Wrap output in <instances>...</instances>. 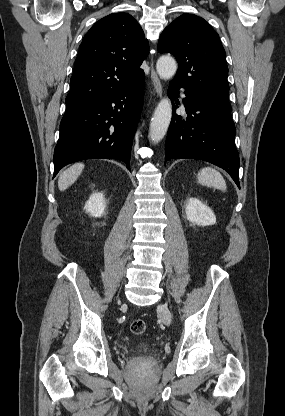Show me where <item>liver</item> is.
Masks as SVG:
<instances>
[{"label":"liver","mask_w":285,"mask_h":416,"mask_svg":"<svg viewBox=\"0 0 285 416\" xmlns=\"http://www.w3.org/2000/svg\"><path fill=\"white\" fill-rule=\"evenodd\" d=\"M83 168V164H74V166H71V168L64 170V172L60 174L58 180V188L60 192H64V190H67L69 186H72V184L76 182L78 176L82 174Z\"/></svg>","instance_id":"liver-1"}]
</instances>
